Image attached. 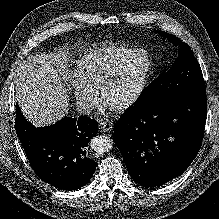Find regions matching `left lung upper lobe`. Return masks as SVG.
I'll use <instances>...</instances> for the list:
<instances>
[{
	"label": "left lung upper lobe",
	"instance_id": "1",
	"mask_svg": "<svg viewBox=\"0 0 219 219\" xmlns=\"http://www.w3.org/2000/svg\"><path fill=\"white\" fill-rule=\"evenodd\" d=\"M160 35L180 45L179 56L173 66L154 79L134 103L139 108L154 107L165 100L190 91L205 90L203 74L191 48L175 36L160 31Z\"/></svg>",
	"mask_w": 219,
	"mask_h": 219
}]
</instances>
